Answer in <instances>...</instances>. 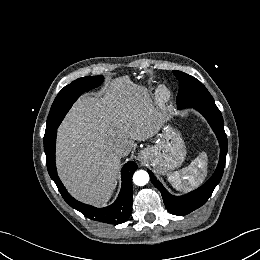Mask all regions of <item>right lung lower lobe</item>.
<instances>
[{
    "label": "right lung lower lobe",
    "mask_w": 260,
    "mask_h": 260,
    "mask_svg": "<svg viewBox=\"0 0 260 260\" xmlns=\"http://www.w3.org/2000/svg\"><path fill=\"white\" fill-rule=\"evenodd\" d=\"M57 129L51 133L45 132L44 151L46 153V163L50 177L57 185L64 200L74 209L80 211L89 219L105 223L120 224L127 221L132 212V175L137 169L134 162L126 163L121 171L122 187L117 200L105 208H95L75 200L65 189L60 181L55 165V143Z\"/></svg>",
    "instance_id": "right-lung-lower-lobe-1"
}]
</instances>
